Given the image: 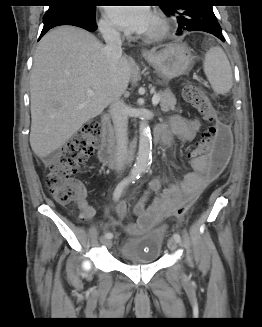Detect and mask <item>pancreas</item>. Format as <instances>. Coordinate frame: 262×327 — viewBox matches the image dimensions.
<instances>
[{
	"instance_id": "obj_1",
	"label": "pancreas",
	"mask_w": 262,
	"mask_h": 327,
	"mask_svg": "<svg viewBox=\"0 0 262 327\" xmlns=\"http://www.w3.org/2000/svg\"><path fill=\"white\" fill-rule=\"evenodd\" d=\"M157 95L160 97V106L163 112L175 110L176 98L169 90L160 91Z\"/></svg>"
}]
</instances>
